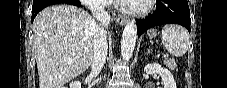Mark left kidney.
<instances>
[{"instance_id":"5707ae66","label":"left kidney","mask_w":227,"mask_h":88,"mask_svg":"<svg viewBox=\"0 0 227 88\" xmlns=\"http://www.w3.org/2000/svg\"><path fill=\"white\" fill-rule=\"evenodd\" d=\"M144 70L146 71L147 74L156 73L160 75L164 88H177L176 82L174 81L171 72L168 69L163 68L160 64L158 63L147 64L144 67Z\"/></svg>"}]
</instances>
